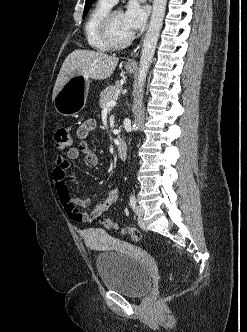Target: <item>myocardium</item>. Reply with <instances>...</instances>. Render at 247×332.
<instances>
[{
  "instance_id": "obj_1",
  "label": "myocardium",
  "mask_w": 247,
  "mask_h": 332,
  "mask_svg": "<svg viewBox=\"0 0 247 332\" xmlns=\"http://www.w3.org/2000/svg\"><path fill=\"white\" fill-rule=\"evenodd\" d=\"M116 10H109L102 18L98 32L101 40L110 49H122L128 46L134 39V34H130L126 39L122 41H116L112 35V16Z\"/></svg>"
}]
</instances>
